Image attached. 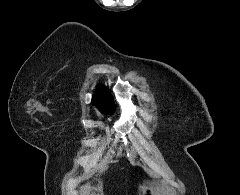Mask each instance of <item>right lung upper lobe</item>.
<instances>
[{"mask_svg":"<svg viewBox=\"0 0 240 195\" xmlns=\"http://www.w3.org/2000/svg\"><path fill=\"white\" fill-rule=\"evenodd\" d=\"M92 103L96 106L114 107L112 96L104 86H98L92 98Z\"/></svg>","mask_w":240,"mask_h":195,"instance_id":"1","label":"right lung upper lobe"}]
</instances>
